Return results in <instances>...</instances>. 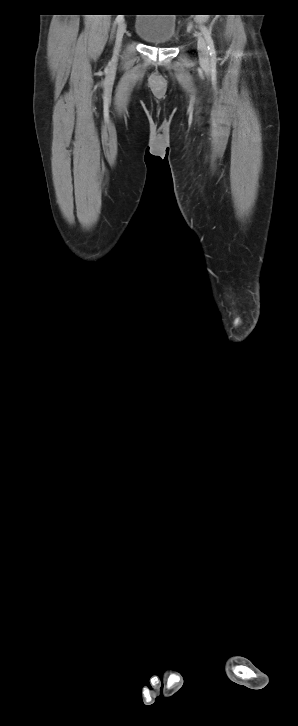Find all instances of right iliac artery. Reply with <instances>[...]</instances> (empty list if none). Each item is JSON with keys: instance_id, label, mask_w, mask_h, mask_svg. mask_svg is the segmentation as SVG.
<instances>
[{"instance_id": "obj_1", "label": "right iliac artery", "mask_w": 298, "mask_h": 726, "mask_svg": "<svg viewBox=\"0 0 298 726\" xmlns=\"http://www.w3.org/2000/svg\"><path fill=\"white\" fill-rule=\"evenodd\" d=\"M123 20V17L121 15L116 17L115 23H120Z\"/></svg>"}]
</instances>
